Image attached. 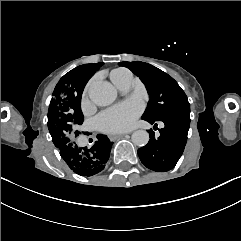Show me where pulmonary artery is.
<instances>
[{
    "mask_svg": "<svg viewBox=\"0 0 241 241\" xmlns=\"http://www.w3.org/2000/svg\"><path fill=\"white\" fill-rule=\"evenodd\" d=\"M131 88V80L123 87L119 88L123 94H127Z\"/></svg>",
    "mask_w": 241,
    "mask_h": 241,
    "instance_id": "1",
    "label": "pulmonary artery"
}]
</instances>
